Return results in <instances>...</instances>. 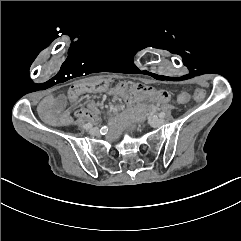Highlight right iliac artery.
<instances>
[{
	"instance_id": "1",
	"label": "right iliac artery",
	"mask_w": 241,
	"mask_h": 241,
	"mask_svg": "<svg viewBox=\"0 0 241 241\" xmlns=\"http://www.w3.org/2000/svg\"><path fill=\"white\" fill-rule=\"evenodd\" d=\"M93 126L92 123H88L84 126L85 129H90Z\"/></svg>"
}]
</instances>
